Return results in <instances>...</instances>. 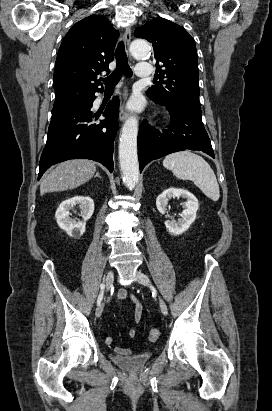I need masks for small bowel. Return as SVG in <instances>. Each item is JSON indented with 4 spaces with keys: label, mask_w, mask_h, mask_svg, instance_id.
<instances>
[{
    "label": "small bowel",
    "mask_w": 272,
    "mask_h": 411,
    "mask_svg": "<svg viewBox=\"0 0 272 411\" xmlns=\"http://www.w3.org/2000/svg\"><path fill=\"white\" fill-rule=\"evenodd\" d=\"M116 299L117 300L129 299L134 304V321L136 323H139L141 321L143 306L141 302L132 293H130L127 289L122 288L117 292ZM127 335L130 338H134L136 335L135 329L129 328L127 330ZM107 338H108V341L106 343L110 344L112 342V338L111 337H107ZM115 352L121 355H128L130 353V350L127 348H123V347H116Z\"/></svg>",
    "instance_id": "1"
}]
</instances>
